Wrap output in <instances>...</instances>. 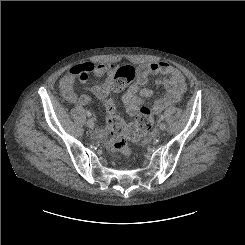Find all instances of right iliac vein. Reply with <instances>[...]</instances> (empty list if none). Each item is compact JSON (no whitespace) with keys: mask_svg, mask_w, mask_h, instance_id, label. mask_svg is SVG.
<instances>
[{"mask_svg":"<svg viewBox=\"0 0 245 245\" xmlns=\"http://www.w3.org/2000/svg\"><path fill=\"white\" fill-rule=\"evenodd\" d=\"M87 126H88L89 128H91V129L94 128V122H93L92 119H89V120L87 121Z\"/></svg>","mask_w":245,"mask_h":245,"instance_id":"1","label":"right iliac vein"}]
</instances>
